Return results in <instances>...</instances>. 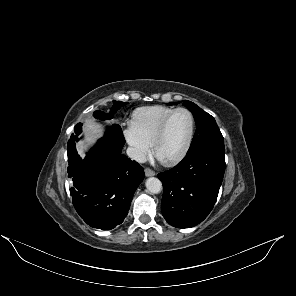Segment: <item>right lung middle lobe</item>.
<instances>
[{
	"instance_id": "obj_1",
	"label": "right lung middle lobe",
	"mask_w": 296,
	"mask_h": 296,
	"mask_svg": "<svg viewBox=\"0 0 296 296\" xmlns=\"http://www.w3.org/2000/svg\"><path fill=\"white\" fill-rule=\"evenodd\" d=\"M114 105H113V109L111 110V113H105V112H101L99 110L94 112V116L97 119H101V120H105V119H111L113 117L112 113L115 112L116 110H118L120 107L126 105V102H121V101H113Z\"/></svg>"
}]
</instances>
